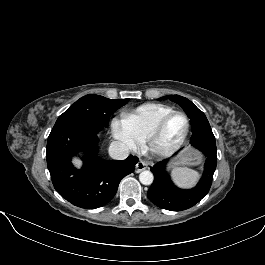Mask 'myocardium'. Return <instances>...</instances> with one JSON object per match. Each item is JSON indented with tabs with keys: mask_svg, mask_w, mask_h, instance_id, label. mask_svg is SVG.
Returning a JSON list of instances; mask_svg holds the SVG:
<instances>
[{
	"mask_svg": "<svg viewBox=\"0 0 265 265\" xmlns=\"http://www.w3.org/2000/svg\"><path fill=\"white\" fill-rule=\"evenodd\" d=\"M174 115H180L184 117L186 121V129L184 131V134L182 137L175 142L174 144L168 145V146H161L158 143L159 137L168 122V120L174 116ZM190 132V119L187 116L186 113L178 110H172L165 115H163L153 126V128L148 132V134L143 139L144 145L146 148L153 154L158 156H168L176 152L181 148V146L185 143L188 135Z\"/></svg>",
	"mask_w": 265,
	"mask_h": 265,
	"instance_id": "1",
	"label": "myocardium"
}]
</instances>
